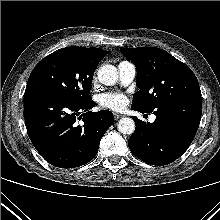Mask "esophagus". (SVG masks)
<instances>
[{
  "label": "esophagus",
  "instance_id": "esophagus-1",
  "mask_svg": "<svg viewBox=\"0 0 220 220\" xmlns=\"http://www.w3.org/2000/svg\"><path fill=\"white\" fill-rule=\"evenodd\" d=\"M121 117H123L122 114L114 113V118H115V120H118V119H120Z\"/></svg>",
  "mask_w": 220,
  "mask_h": 220
}]
</instances>
